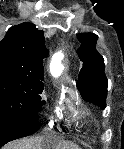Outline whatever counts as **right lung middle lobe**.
Instances as JSON below:
<instances>
[{
  "label": "right lung middle lobe",
  "mask_w": 124,
  "mask_h": 149,
  "mask_svg": "<svg viewBox=\"0 0 124 149\" xmlns=\"http://www.w3.org/2000/svg\"><path fill=\"white\" fill-rule=\"evenodd\" d=\"M43 87L24 84L14 76L0 73V127L24 126L39 119L44 101Z\"/></svg>",
  "instance_id": "right-lung-middle-lobe-1"
}]
</instances>
